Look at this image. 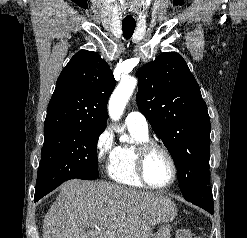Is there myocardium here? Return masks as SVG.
<instances>
[{
	"label": "myocardium",
	"mask_w": 247,
	"mask_h": 238,
	"mask_svg": "<svg viewBox=\"0 0 247 238\" xmlns=\"http://www.w3.org/2000/svg\"><path fill=\"white\" fill-rule=\"evenodd\" d=\"M153 150H159L162 153H164L170 162V165L172 168V177L170 181L165 185H154L148 180L146 176V171H145L146 160L149 154ZM136 170H137L139 178L147 187L152 188V189H157V190L167 189L170 186H172L178 174L177 164H176L175 158L173 154L171 153V151L163 144H160L152 140H147L138 146L137 157H136Z\"/></svg>",
	"instance_id": "f54148a6"
}]
</instances>
